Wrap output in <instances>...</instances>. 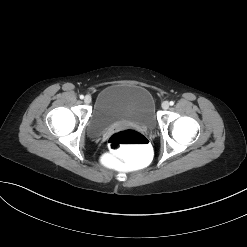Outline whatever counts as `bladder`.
Masks as SVG:
<instances>
[{
	"label": "bladder",
	"instance_id": "31cf9c89",
	"mask_svg": "<svg viewBox=\"0 0 247 247\" xmlns=\"http://www.w3.org/2000/svg\"><path fill=\"white\" fill-rule=\"evenodd\" d=\"M118 123L146 129L155 127L154 99L146 88L132 84H114L98 94L88 120V133L101 134Z\"/></svg>",
	"mask_w": 247,
	"mask_h": 247
}]
</instances>
